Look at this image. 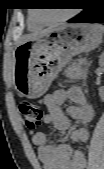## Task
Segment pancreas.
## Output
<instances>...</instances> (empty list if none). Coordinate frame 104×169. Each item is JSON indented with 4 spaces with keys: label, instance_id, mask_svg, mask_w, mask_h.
<instances>
[{
    "label": "pancreas",
    "instance_id": "obj_1",
    "mask_svg": "<svg viewBox=\"0 0 104 169\" xmlns=\"http://www.w3.org/2000/svg\"><path fill=\"white\" fill-rule=\"evenodd\" d=\"M65 73L66 77L69 79H80L85 77L87 74L86 63L81 59H78L67 67Z\"/></svg>",
    "mask_w": 104,
    "mask_h": 169
}]
</instances>
